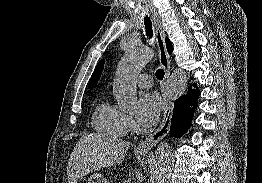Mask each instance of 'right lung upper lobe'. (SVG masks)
Instances as JSON below:
<instances>
[{
  "instance_id": "cb5924a9",
  "label": "right lung upper lobe",
  "mask_w": 262,
  "mask_h": 183,
  "mask_svg": "<svg viewBox=\"0 0 262 183\" xmlns=\"http://www.w3.org/2000/svg\"><path fill=\"white\" fill-rule=\"evenodd\" d=\"M166 46H167L168 53L171 54V52H172V43L170 42V40L168 38H166ZM103 64H104L103 60H101L97 64V66H96V68H95V70H94V72H93V74L91 76V79L89 81V88L90 89H92L96 85L97 81L99 80V78L101 76V73H102V70H103Z\"/></svg>"
}]
</instances>
